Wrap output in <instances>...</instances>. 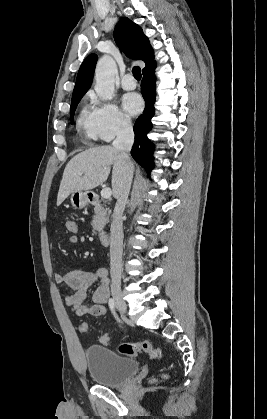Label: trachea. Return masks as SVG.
Returning <instances> with one entry per match:
<instances>
[{"mask_svg":"<svg viewBox=\"0 0 267 419\" xmlns=\"http://www.w3.org/2000/svg\"><path fill=\"white\" fill-rule=\"evenodd\" d=\"M132 73L137 80L141 79V69L138 66L133 67Z\"/></svg>","mask_w":267,"mask_h":419,"instance_id":"1","label":"trachea"}]
</instances>
